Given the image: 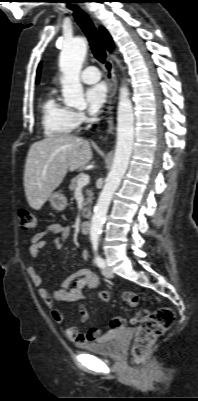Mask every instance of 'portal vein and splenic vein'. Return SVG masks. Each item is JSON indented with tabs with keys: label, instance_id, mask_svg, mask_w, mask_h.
Wrapping results in <instances>:
<instances>
[{
	"label": "portal vein and splenic vein",
	"instance_id": "1",
	"mask_svg": "<svg viewBox=\"0 0 198 401\" xmlns=\"http://www.w3.org/2000/svg\"><path fill=\"white\" fill-rule=\"evenodd\" d=\"M89 179H90L89 175H87V174L81 176L78 181V188H81V187L87 185L89 183Z\"/></svg>",
	"mask_w": 198,
	"mask_h": 401
}]
</instances>
